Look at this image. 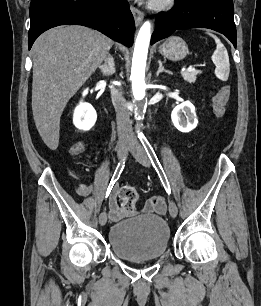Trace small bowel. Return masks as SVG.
Returning a JSON list of instances; mask_svg holds the SVG:
<instances>
[{"mask_svg":"<svg viewBox=\"0 0 261 306\" xmlns=\"http://www.w3.org/2000/svg\"><path fill=\"white\" fill-rule=\"evenodd\" d=\"M92 190L93 187L91 185L81 184L77 188V193L82 197H86L92 192ZM109 208H110V218L112 220H118L124 216V212L117 202L116 192H114L110 197ZM144 211L163 215L166 212V203L164 198L161 196H154L150 198L144 207Z\"/></svg>","mask_w":261,"mask_h":306,"instance_id":"c3829d8e","label":"small bowel"}]
</instances>
